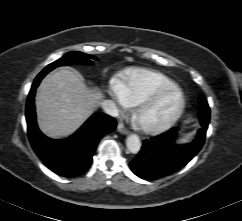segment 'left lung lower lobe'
Here are the masks:
<instances>
[{
	"instance_id": "obj_1",
	"label": "left lung lower lobe",
	"mask_w": 242,
	"mask_h": 221,
	"mask_svg": "<svg viewBox=\"0 0 242 221\" xmlns=\"http://www.w3.org/2000/svg\"><path fill=\"white\" fill-rule=\"evenodd\" d=\"M209 119L210 110L209 114L200 119L201 127L196 138L186 145L176 144L177 128H172L150 140H144L141 151L130 162V169L142 179H156L176 172L201 150Z\"/></svg>"
}]
</instances>
